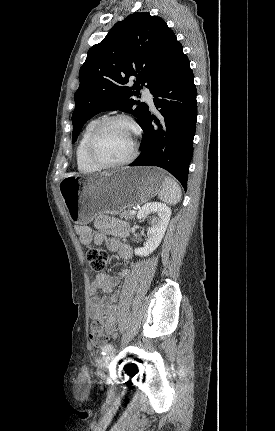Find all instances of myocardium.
Here are the masks:
<instances>
[{"label": "myocardium", "instance_id": "f54148a6", "mask_svg": "<svg viewBox=\"0 0 275 431\" xmlns=\"http://www.w3.org/2000/svg\"><path fill=\"white\" fill-rule=\"evenodd\" d=\"M114 122H123L131 128L133 132V146H132L130 155L126 159L116 163H107L99 160L95 156L94 150H95L96 142L99 136L101 135V133L103 132V130L108 125ZM138 146H139V131L136 124L127 116L113 115V116H109L104 119H101L99 123L94 127L92 132L90 133L86 143V156L88 161L98 169H117V168H121L126 165H129L135 160L138 153Z\"/></svg>", "mask_w": 275, "mask_h": 431}]
</instances>
